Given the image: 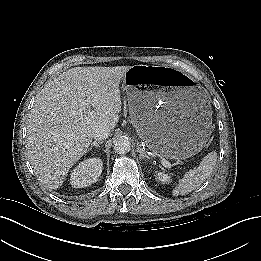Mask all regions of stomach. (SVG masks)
Masks as SVG:
<instances>
[{
	"instance_id": "obj_1",
	"label": "stomach",
	"mask_w": 261,
	"mask_h": 261,
	"mask_svg": "<svg viewBox=\"0 0 261 261\" xmlns=\"http://www.w3.org/2000/svg\"><path fill=\"white\" fill-rule=\"evenodd\" d=\"M149 74L170 79L156 89L141 90ZM123 83L134 126L154 154L178 160L203 148L211 134V111L191 79L172 69L135 65L125 73Z\"/></svg>"
}]
</instances>
